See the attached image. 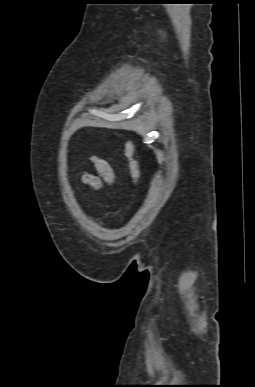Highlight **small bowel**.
<instances>
[{
	"label": "small bowel",
	"instance_id": "obj_1",
	"mask_svg": "<svg viewBox=\"0 0 255 387\" xmlns=\"http://www.w3.org/2000/svg\"><path fill=\"white\" fill-rule=\"evenodd\" d=\"M98 175L87 174L83 177V181L93 189H99L103 183L112 184L114 182V172L110 165L99 158L94 157Z\"/></svg>",
	"mask_w": 255,
	"mask_h": 387
}]
</instances>
